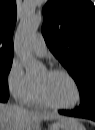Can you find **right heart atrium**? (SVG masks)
Returning a JSON list of instances; mask_svg holds the SVG:
<instances>
[{"instance_id": "1", "label": "right heart atrium", "mask_w": 95, "mask_h": 130, "mask_svg": "<svg viewBox=\"0 0 95 130\" xmlns=\"http://www.w3.org/2000/svg\"><path fill=\"white\" fill-rule=\"evenodd\" d=\"M10 94L22 103L29 102L36 84L26 75L22 66L13 63L7 76Z\"/></svg>"}]
</instances>
